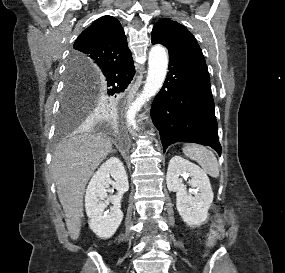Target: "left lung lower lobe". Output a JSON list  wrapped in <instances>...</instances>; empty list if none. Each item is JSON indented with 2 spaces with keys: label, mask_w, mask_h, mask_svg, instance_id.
<instances>
[{
  "label": "left lung lower lobe",
  "mask_w": 285,
  "mask_h": 273,
  "mask_svg": "<svg viewBox=\"0 0 285 273\" xmlns=\"http://www.w3.org/2000/svg\"><path fill=\"white\" fill-rule=\"evenodd\" d=\"M167 48L169 72L151 107V117L160 132L164 152L173 143L192 142L210 146L221 155L207 66Z\"/></svg>",
  "instance_id": "left-lung-lower-lobe-1"
}]
</instances>
